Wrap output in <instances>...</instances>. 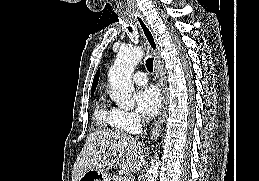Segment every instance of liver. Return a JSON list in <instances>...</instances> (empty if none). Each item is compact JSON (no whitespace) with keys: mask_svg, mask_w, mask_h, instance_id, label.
Here are the masks:
<instances>
[{"mask_svg":"<svg viewBox=\"0 0 259 181\" xmlns=\"http://www.w3.org/2000/svg\"><path fill=\"white\" fill-rule=\"evenodd\" d=\"M144 146L129 134L113 130H99L88 135L84 147L74 163L72 181L88 170H109L119 167L138 173L146 163Z\"/></svg>","mask_w":259,"mask_h":181,"instance_id":"obj_1","label":"liver"}]
</instances>
